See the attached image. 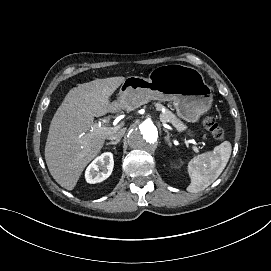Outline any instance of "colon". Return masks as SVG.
I'll use <instances>...</instances> for the list:
<instances>
[{"label":"colon","mask_w":271,"mask_h":271,"mask_svg":"<svg viewBox=\"0 0 271 271\" xmlns=\"http://www.w3.org/2000/svg\"><path fill=\"white\" fill-rule=\"evenodd\" d=\"M203 127L211 134L214 139L223 140L225 137V132L223 128L209 116L202 117Z\"/></svg>","instance_id":"obj_1"}]
</instances>
